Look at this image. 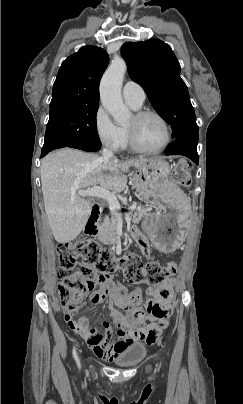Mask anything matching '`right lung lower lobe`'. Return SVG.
Masks as SVG:
<instances>
[{"instance_id": "obj_1", "label": "right lung lower lobe", "mask_w": 243, "mask_h": 404, "mask_svg": "<svg viewBox=\"0 0 243 404\" xmlns=\"http://www.w3.org/2000/svg\"><path fill=\"white\" fill-rule=\"evenodd\" d=\"M101 144H94V143H85V142H76L70 144L69 147L80 149V150H85L89 152H95L100 149Z\"/></svg>"}]
</instances>
